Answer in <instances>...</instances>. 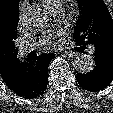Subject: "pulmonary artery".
<instances>
[{"instance_id": "1", "label": "pulmonary artery", "mask_w": 113, "mask_h": 113, "mask_svg": "<svg viewBox=\"0 0 113 113\" xmlns=\"http://www.w3.org/2000/svg\"><path fill=\"white\" fill-rule=\"evenodd\" d=\"M53 11L58 10V7L52 9ZM36 48V45L34 43L30 42H24L19 46V50L21 53H27L30 51H33Z\"/></svg>"}]
</instances>
